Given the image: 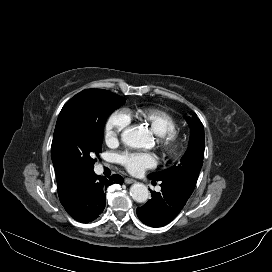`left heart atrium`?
Wrapping results in <instances>:
<instances>
[{
    "label": "left heart atrium",
    "instance_id": "39dd6f15",
    "mask_svg": "<svg viewBox=\"0 0 272 272\" xmlns=\"http://www.w3.org/2000/svg\"><path fill=\"white\" fill-rule=\"evenodd\" d=\"M117 160L132 174H140L157 163L156 156L150 152L125 151L117 155Z\"/></svg>",
    "mask_w": 272,
    "mask_h": 272
}]
</instances>
